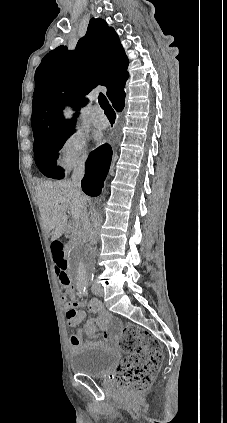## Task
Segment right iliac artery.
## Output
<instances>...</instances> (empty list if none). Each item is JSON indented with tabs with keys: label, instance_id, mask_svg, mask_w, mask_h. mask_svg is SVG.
Segmentation results:
<instances>
[{
	"label": "right iliac artery",
	"instance_id": "obj_1",
	"mask_svg": "<svg viewBox=\"0 0 227 423\" xmlns=\"http://www.w3.org/2000/svg\"><path fill=\"white\" fill-rule=\"evenodd\" d=\"M78 290L80 291V293H83L84 295H87L88 294V290H87V285L86 284L80 285L78 287Z\"/></svg>",
	"mask_w": 227,
	"mask_h": 423
}]
</instances>
